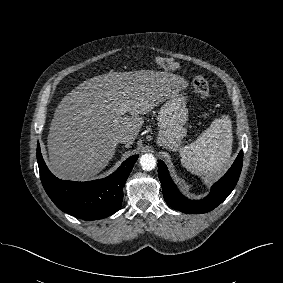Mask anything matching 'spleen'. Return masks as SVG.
I'll return each instance as SVG.
<instances>
[{"label":"spleen","mask_w":283,"mask_h":283,"mask_svg":"<svg viewBox=\"0 0 283 283\" xmlns=\"http://www.w3.org/2000/svg\"><path fill=\"white\" fill-rule=\"evenodd\" d=\"M232 142L231 119L224 115L215 119L194 142L180 149L181 164L199 176L216 175L229 162Z\"/></svg>","instance_id":"obj_1"}]
</instances>
